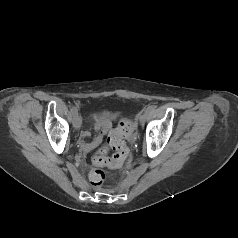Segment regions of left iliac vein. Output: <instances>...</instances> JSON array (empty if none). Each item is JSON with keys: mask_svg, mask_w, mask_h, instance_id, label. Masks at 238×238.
Masks as SVG:
<instances>
[{"mask_svg": "<svg viewBox=\"0 0 238 238\" xmlns=\"http://www.w3.org/2000/svg\"><path fill=\"white\" fill-rule=\"evenodd\" d=\"M146 118H147V112L145 111L139 117V121L141 125H144Z\"/></svg>", "mask_w": 238, "mask_h": 238, "instance_id": "obj_1", "label": "left iliac vein"}]
</instances>
